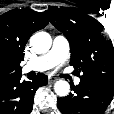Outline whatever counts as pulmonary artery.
<instances>
[{
	"mask_svg": "<svg viewBox=\"0 0 114 114\" xmlns=\"http://www.w3.org/2000/svg\"><path fill=\"white\" fill-rule=\"evenodd\" d=\"M69 54V43L63 36H56L50 51L31 61H28L23 70L29 71H45L56 65L63 63ZM75 84L80 83V78H75Z\"/></svg>",
	"mask_w": 114,
	"mask_h": 114,
	"instance_id": "obj_1",
	"label": "pulmonary artery"
}]
</instances>
